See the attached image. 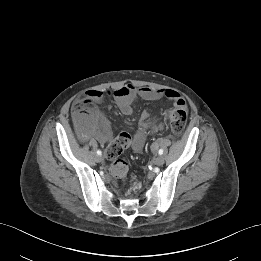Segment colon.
I'll list each match as a JSON object with an SVG mask.
<instances>
[{
	"label": "colon",
	"instance_id": "obj_1",
	"mask_svg": "<svg viewBox=\"0 0 261 261\" xmlns=\"http://www.w3.org/2000/svg\"><path fill=\"white\" fill-rule=\"evenodd\" d=\"M91 108L80 102L74 106L76 115L80 116L88 113ZM169 120L171 131L175 135H180L184 132L187 122V112L185 109L179 108L174 111L166 113ZM132 144V138L127 133L120 134L115 138L106 148L105 156L109 161H114L111 166L112 173L120 179H125L128 174V164L123 160H117V158L130 147Z\"/></svg>",
	"mask_w": 261,
	"mask_h": 261
}]
</instances>
